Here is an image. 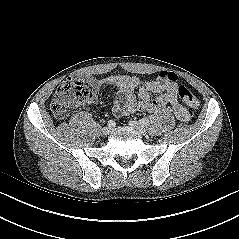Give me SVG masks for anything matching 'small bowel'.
Instances as JSON below:
<instances>
[{"label": "small bowel", "instance_id": "obj_1", "mask_svg": "<svg viewBox=\"0 0 239 239\" xmlns=\"http://www.w3.org/2000/svg\"><path fill=\"white\" fill-rule=\"evenodd\" d=\"M82 80L91 89L86 104H96L102 87L115 88L112 111L116 117L136 112H154L162 107L171 108L177 119L188 122L190 113L178 101V84L169 81L165 72L152 81L142 82L136 76L111 75L105 78L84 76ZM138 89L137 95L135 90ZM151 94L155 96L151 98Z\"/></svg>", "mask_w": 239, "mask_h": 239}]
</instances>
